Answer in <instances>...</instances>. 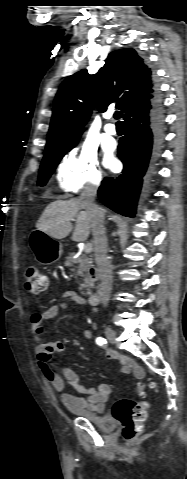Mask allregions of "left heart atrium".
Wrapping results in <instances>:
<instances>
[{
	"instance_id": "obj_1",
	"label": "left heart atrium",
	"mask_w": 187,
	"mask_h": 479,
	"mask_svg": "<svg viewBox=\"0 0 187 479\" xmlns=\"http://www.w3.org/2000/svg\"><path fill=\"white\" fill-rule=\"evenodd\" d=\"M106 164H107V166L110 167L111 169H116V167L118 166L117 160L112 157L111 153H108V154H107Z\"/></svg>"
}]
</instances>
